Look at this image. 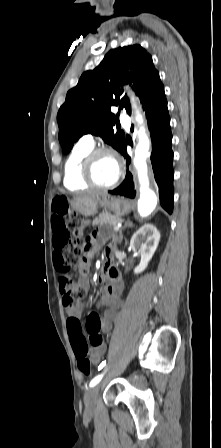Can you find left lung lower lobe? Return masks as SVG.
Returning <instances> with one entry per match:
<instances>
[{
    "label": "left lung lower lobe",
    "mask_w": 221,
    "mask_h": 448,
    "mask_svg": "<svg viewBox=\"0 0 221 448\" xmlns=\"http://www.w3.org/2000/svg\"><path fill=\"white\" fill-rule=\"evenodd\" d=\"M143 110L146 111L148 128L152 139L151 163L154 177L159 187V198L161 206L168 212L173 211V151L171 149V128L170 117L167 109V100L164 87L152 92L142 103ZM127 143L120 150V153L127 158V164L131 159L126 151ZM110 193L134 198L133 177L127 171L126 179L116 189Z\"/></svg>",
    "instance_id": "1"
}]
</instances>
